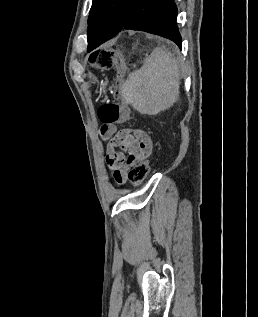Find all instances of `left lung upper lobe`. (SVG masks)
Wrapping results in <instances>:
<instances>
[{"instance_id":"left-lung-upper-lobe-1","label":"left lung upper lobe","mask_w":258,"mask_h":317,"mask_svg":"<svg viewBox=\"0 0 258 317\" xmlns=\"http://www.w3.org/2000/svg\"><path fill=\"white\" fill-rule=\"evenodd\" d=\"M131 0H93L88 18V32L97 27H121Z\"/></svg>"}]
</instances>
